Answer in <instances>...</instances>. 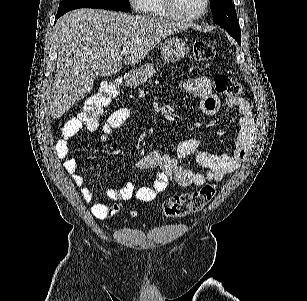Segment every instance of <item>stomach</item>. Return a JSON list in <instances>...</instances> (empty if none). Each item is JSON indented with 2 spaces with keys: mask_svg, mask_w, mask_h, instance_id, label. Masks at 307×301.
Listing matches in <instances>:
<instances>
[{
  "mask_svg": "<svg viewBox=\"0 0 307 301\" xmlns=\"http://www.w3.org/2000/svg\"><path fill=\"white\" fill-rule=\"evenodd\" d=\"M189 50V44H187L186 40L179 38V36H171V38H166L161 44V58L164 62H177V60H182L188 54ZM154 72L155 68L153 64L151 62H145L139 68H133V70L126 72L124 76L125 82L126 84H131V86H140L148 78H151Z\"/></svg>",
  "mask_w": 307,
  "mask_h": 301,
  "instance_id": "0dacf381",
  "label": "stomach"
}]
</instances>
